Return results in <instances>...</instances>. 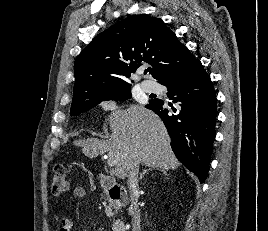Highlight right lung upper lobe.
I'll list each match as a JSON object with an SVG mask.
<instances>
[{
  "label": "right lung upper lobe",
  "mask_w": 268,
  "mask_h": 231,
  "mask_svg": "<svg viewBox=\"0 0 268 231\" xmlns=\"http://www.w3.org/2000/svg\"><path fill=\"white\" fill-rule=\"evenodd\" d=\"M196 61L161 19L144 14L127 17L97 35L77 56L72 104L130 87L120 76L129 77L144 63L161 82Z\"/></svg>",
  "instance_id": "cb5924a9"
}]
</instances>
